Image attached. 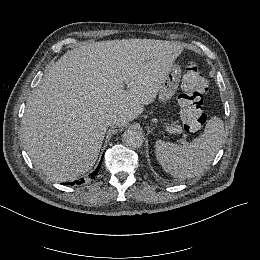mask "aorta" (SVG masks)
<instances>
[{
  "mask_svg": "<svg viewBox=\"0 0 260 260\" xmlns=\"http://www.w3.org/2000/svg\"><path fill=\"white\" fill-rule=\"evenodd\" d=\"M122 141L130 148H140L144 142L143 134L135 129H127L122 135Z\"/></svg>",
  "mask_w": 260,
  "mask_h": 260,
  "instance_id": "762f6f07",
  "label": "aorta"
}]
</instances>
